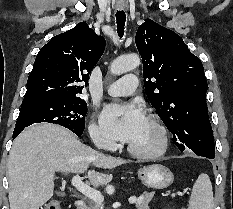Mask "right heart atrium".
Wrapping results in <instances>:
<instances>
[{
	"label": "right heart atrium",
	"mask_w": 233,
	"mask_h": 209,
	"mask_svg": "<svg viewBox=\"0 0 233 209\" xmlns=\"http://www.w3.org/2000/svg\"><path fill=\"white\" fill-rule=\"evenodd\" d=\"M89 134L93 144L104 149H113L115 147L114 140L96 123H91Z\"/></svg>",
	"instance_id": "right-heart-atrium-1"
}]
</instances>
